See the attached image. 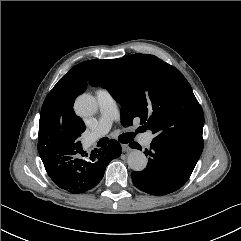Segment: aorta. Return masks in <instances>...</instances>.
Masks as SVG:
<instances>
[{
    "label": "aorta",
    "instance_id": "762f6f07",
    "mask_svg": "<svg viewBox=\"0 0 241 241\" xmlns=\"http://www.w3.org/2000/svg\"><path fill=\"white\" fill-rule=\"evenodd\" d=\"M77 115L81 117L92 116L97 112L96 99L89 94L80 95L74 104ZM147 158L140 150H132L127 159L128 166L136 172L143 171L147 166Z\"/></svg>",
    "mask_w": 241,
    "mask_h": 241
}]
</instances>
